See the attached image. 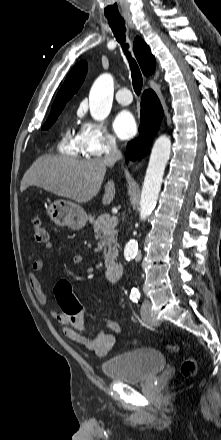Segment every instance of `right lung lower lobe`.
I'll use <instances>...</instances> for the list:
<instances>
[{
  "mask_svg": "<svg viewBox=\"0 0 221 440\" xmlns=\"http://www.w3.org/2000/svg\"><path fill=\"white\" fill-rule=\"evenodd\" d=\"M162 116L163 110L157 95L152 90H146L141 100L140 137L128 143L126 162L129 158L135 160L147 154L152 139L159 129Z\"/></svg>",
  "mask_w": 221,
  "mask_h": 440,
  "instance_id": "obj_1",
  "label": "right lung lower lobe"
}]
</instances>
